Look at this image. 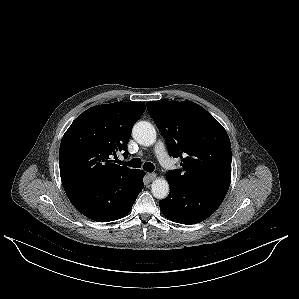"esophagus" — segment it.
I'll list each match as a JSON object with an SVG mask.
<instances>
[{
  "instance_id": "esophagus-1",
  "label": "esophagus",
  "mask_w": 299,
  "mask_h": 299,
  "mask_svg": "<svg viewBox=\"0 0 299 299\" xmlns=\"http://www.w3.org/2000/svg\"><path fill=\"white\" fill-rule=\"evenodd\" d=\"M146 177L149 181H152L156 178V174L155 173H147Z\"/></svg>"
}]
</instances>
